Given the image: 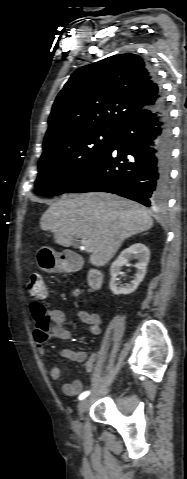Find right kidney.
<instances>
[{
    "instance_id": "right-kidney-1",
    "label": "right kidney",
    "mask_w": 187,
    "mask_h": 479,
    "mask_svg": "<svg viewBox=\"0 0 187 479\" xmlns=\"http://www.w3.org/2000/svg\"><path fill=\"white\" fill-rule=\"evenodd\" d=\"M150 258L149 249L141 243L131 245L129 248L123 250L118 258L112 263L110 268L111 280L109 283L110 290L113 294H131L134 292L145 277L147 265ZM129 259H137L138 263L134 265L136 273L133 280L126 286L119 284L117 276L124 265H129Z\"/></svg>"
}]
</instances>
